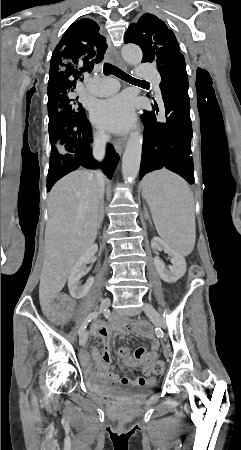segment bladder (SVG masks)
I'll return each instance as SVG.
<instances>
[{"label": "bladder", "mask_w": 241, "mask_h": 450, "mask_svg": "<svg viewBox=\"0 0 241 450\" xmlns=\"http://www.w3.org/2000/svg\"><path fill=\"white\" fill-rule=\"evenodd\" d=\"M108 393L113 397H127L134 395L131 391L121 387H111L108 389Z\"/></svg>", "instance_id": "1"}]
</instances>
